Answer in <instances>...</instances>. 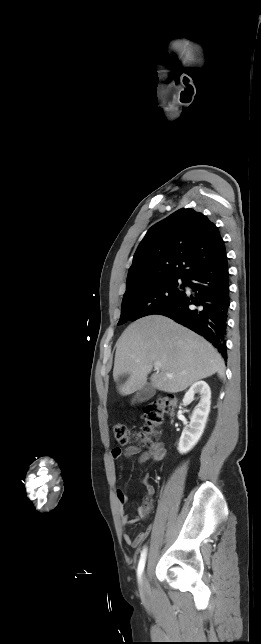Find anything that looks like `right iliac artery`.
I'll return each mask as SVG.
<instances>
[{"label":"right iliac artery","mask_w":261,"mask_h":644,"mask_svg":"<svg viewBox=\"0 0 261 644\" xmlns=\"http://www.w3.org/2000/svg\"><path fill=\"white\" fill-rule=\"evenodd\" d=\"M145 561H146V548L143 549L139 560V564H138L137 575L139 579H141L142 573L144 571Z\"/></svg>","instance_id":"obj_1"}]
</instances>
